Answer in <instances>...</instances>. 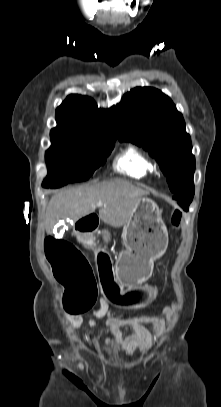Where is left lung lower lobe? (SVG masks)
<instances>
[{
    "instance_id": "obj_1",
    "label": "left lung lower lobe",
    "mask_w": 221,
    "mask_h": 407,
    "mask_svg": "<svg viewBox=\"0 0 221 407\" xmlns=\"http://www.w3.org/2000/svg\"><path fill=\"white\" fill-rule=\"evenodd\" d=\"M193 196H194V190L178 193L173 196V199L178 200L179 205L182 206L184 210L188 211L189 205L193 199Z\"/></svg>"
}]
</instances>
